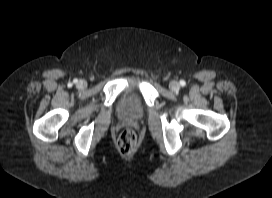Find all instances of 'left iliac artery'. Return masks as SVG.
<instances>
[{"label": "left iliac artery", "instance_id": "44dca946", "mask_svg": "<svg viewBox=\"0 0 272 198\" xmlns=\"http://www.w3.org/2000/svg\"><path fill=\"white\" fill-rule=\"evenodd\" d=\"M180 84L182 85V86H184L185 85V81H180Z\"/></svg>", "mask_w": 272, "mask_h": 198}]
</instances>
